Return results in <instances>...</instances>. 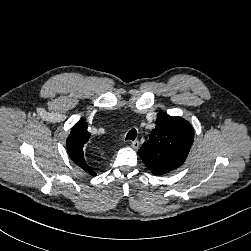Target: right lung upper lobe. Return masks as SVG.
I'll use <instances>...</instances> for the list:
<instances>
[{
    "mask_svg": "<svg viewBox=\"0 0 251 251\" xmlns=\"http://www.w3.org/2000/svg\"><path fill=\"white\" fill-rule=\"evenodd\" d=\"M87 123L81 119L72 128L69 137L67 138V150L75 164L81 167L84 171L95 176L96 173L89 166L84 158L83 147L90 138V133L87 131Z\"/></svg>",
    "mask_w": 251,
    "mask_h": 251,
    "instance_id": "1",
    "label": "right lung upper lobe"
}]
</instances>
